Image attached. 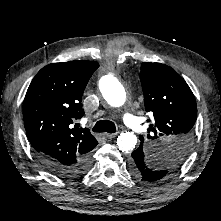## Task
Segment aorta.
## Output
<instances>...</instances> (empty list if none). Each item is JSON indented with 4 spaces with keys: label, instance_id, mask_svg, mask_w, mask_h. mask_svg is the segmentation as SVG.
Returning a JSON list of instances; mask_svg holds the SVG:
<instances>
[{
    "label": "aorta",
    "instance_id": "762f6f07",
    "mask_svg": "<svg viewBox=\"0 0 221 221\" xmlns=\"http://www.w3.org/2000/svg\"><path fill=\"white\" fill-rule=\"evenodd\" d=\"M99 89L107 103L113 107H120L125 103L126 93L122 84L112 75H106L99 82ZM137 143L133 132L121 133L117 138L118 148L122 152H131Z\"/></svg>",
    "mask_w": 221,
    "mask_h": 221
}]
</instances>
